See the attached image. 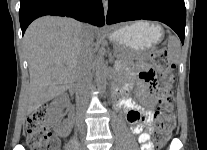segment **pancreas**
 Returning <instances> with one entry per match:
<instances>
[{"instance_id": "cf45deb5", "label": "pancreas", "mask_w": 207, "mask_h": 150, "mask_svg": "<svg viewBox=\"0 0 207 150\" xmlns=\"http://www.w3.org/2000/svg\"><path fill=\"white\" fill-rule=\"evenodd\" d=\"M118 52H119V50H118ZM134 59H146V54H145V55L138 54V55L135 56ZM134 59H133V60H134ZM121 60H122V59H121Z\"/></svg>"}]
</instances>
